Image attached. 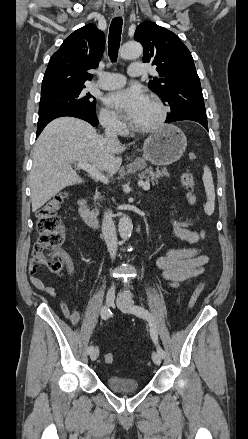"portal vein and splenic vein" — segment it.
I'll use <instances>...</instances> for the list:
<instances>
[{
    "label": "portal vein and splenic vein",
    "instance_id": "portal-vein-and-splenic-vein-1",
    "mask_svg": "<svg viewBox=\"0 0 248 439\" xmlns=\"http://www.w3.org/2000/svg\"><path fill=\"white\" fill-rule=\"evenodd\" d=\"M77 168L83 169L86 172H88L92 177L96 178L97 180L107 184L109 182L108 178L105 177L99 170H97L95 165L87 164V163H77ZM139 185L143 187L144 190L150 189V183L148 181L146 182H139Z\"/></svg>",
    "mask_w": 248,
    "mask_h": 439
}]
</instances>
